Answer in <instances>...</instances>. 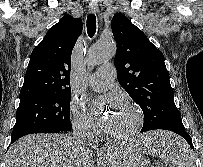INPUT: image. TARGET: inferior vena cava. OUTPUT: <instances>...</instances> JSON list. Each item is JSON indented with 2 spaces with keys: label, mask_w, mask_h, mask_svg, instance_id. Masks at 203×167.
Here are the masks:
<instances>
[{
  "label": "inferior vena cava",
  "mask_w": 203,
  "mask_h": 167,
  "mask_svg": "<svg viewBox=\"0 0 203 167\" xmlns=\"http://www.w3.org/2000/svg\"><path fill=\"white\" fill-rule=\"evenodd\" d=\"M72 139L74 144L79 149H88V146L93 139V134L88 126V123L82 122L75 124L73 128Z\"/></svg>",
  "instance_id": "602c4592"
}]
</instances>
